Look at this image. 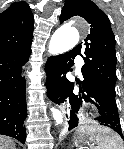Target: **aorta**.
<instances>
[{"mask_svg": "<svg viewBox=\"0 0 124 149\" xmlns=\"http://www.w3.org/2000/svg\"><path fill=\"white\" fill-rule=\"evenodd\" d=\"M75 21H70L61 25L52 35L49 49L57 53H62L73 48L79 41V32L73 26ZM52 116L57 124L63 122L61 112L55 108H51Z\"/></svg>", "mask_w": 124, "mask_h": 149, "instance_id": "762f6f07", "label": "aorta"}]
</instances>
